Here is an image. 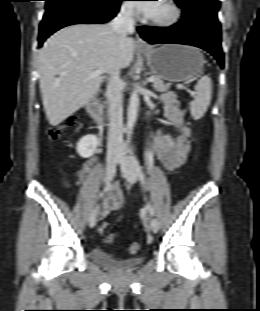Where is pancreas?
I'll use <instances>...</instances> for the list:
<instances>
[{"label": "pancreas", "instance_id": "cf45deb5", "mask_svg": "<svg viewBox=\"0 0 260 311\" xmlns=\"http://www.w3.org/2000/svg\"><path fill=\"white\" fill-rule=\"evenodd\" d=\"M153 77L155 79L154 82H152L153 83V88L156 91H158V92H166L170 88V84L169 83L165 84L163 82V80L159 76L154 75Z\"/></svg>", "mask_w": 260, "mask_h": 311}]
</instances>
